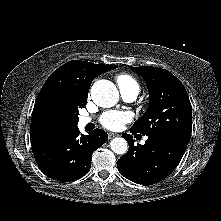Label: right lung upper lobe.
Segmentation results:
<instances>
[{"instance_id":"right-lung-upper-lobe-1","label":"right lung upper lobe","mask_w":221,"mask_h":221,"mask_svg":"<svg viewBox=\"0 0 221 221\" xmlns=\"http://www.w3.org/2000/svg\"><path fill=\"white\" fill-rule=\"evenodd\" d=\"M117 67L72 60L56 69L36 98L30 127L31 144H39L74 127L62 113L77 105L85 107L92 81Z\"/></svg>"}]
</instances>
